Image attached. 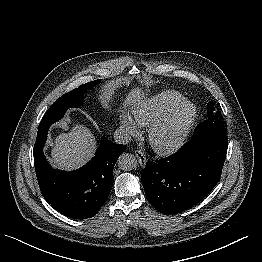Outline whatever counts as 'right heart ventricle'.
<instances>
[{"label": "right heart ventricle", "mask_w": 262, "mask_h": 262, "mask_svg": "<svg viewBox=\"0 0 262 262\" xmlns=\"http://www.w3.org/2000/svg\"><path fill=\"white\" fill-rule=\"evenodd\" d=\"M183 100L184 97L176 91H162L137 103L133 109L134 120L141 127H150L168 110Z\"/></svg>", "instance_id": "e07e8e85"}]
</instances>
